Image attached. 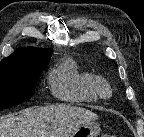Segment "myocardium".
<instances>
[{"instance_id":"f54148a6","label":"myocardium","mask_w":144,"mask_h":137,"mask_svg":"<svg viewBox=\"0 0 144 137\" xmlns=\"http://www.w3.org/2000/svg\"><path fill=\"white\" fill-rule=\"evenodd\" d=\"M93 88L100 98H108L111 96L112 91L109 83L101 77L96 76Z\"/></svg>"}]
</instances>
